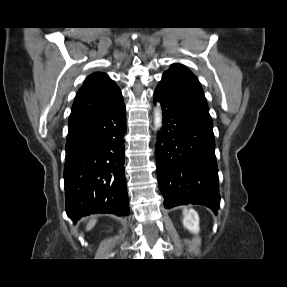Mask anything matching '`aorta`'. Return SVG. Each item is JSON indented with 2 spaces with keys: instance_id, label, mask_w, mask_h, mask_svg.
<instances>
[{
  "instance_id": "762f6f07",
  "label": "aorta",
  "mask_w": 287,
  "mask_h": 287,
  "mask_svg": "<svg viewBox=\"0 0 287 287\" xmlns=\"http://www.w3.org/2000/svg\"><path fill=\"white\" fill-rule=\"evenodd\" d=\"M154 124L157 128H160L162 125V114L160 107L155 109Z\"/></svg>"
}]
</instances>
